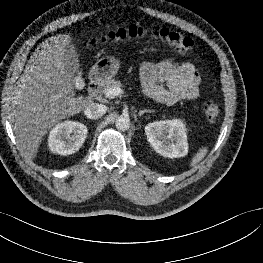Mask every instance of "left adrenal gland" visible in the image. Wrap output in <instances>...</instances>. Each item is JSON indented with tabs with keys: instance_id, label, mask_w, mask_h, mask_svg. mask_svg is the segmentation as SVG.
Masks as SVG:
<instances>
[{
	"instance_id": "1",
	"label": "left adrenal gland",
	"mask_w": 263,
	"mask_h": 263,
	"mask_svg": "<svg viewBox=\"0 0 263 263\" xmlns=\"http://www.w3.org/2000/svg\"><path fill=\"white\" fill-rule=\"evenodd\" d=\"M151 113V112H153L152 110H147V109H145V110H141V111H139V116H141V115H143L144 113Z\"/></svg>"
}]
</instances>
